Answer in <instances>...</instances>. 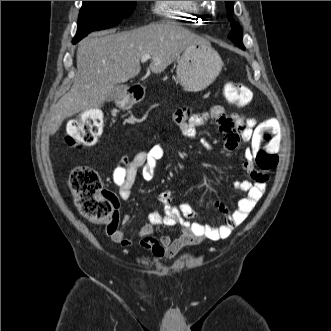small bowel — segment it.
Here are the masks:
<instances>
[{
  "instance_id": "c3829d8e",
  "label": "small bowel",
  "mask_w": 331,
  "mask_h": 331,
  "mask_svg": "<svg viewBox=\"0 0 331 331\" xmlns=\"http://www.w3.org/2000/svg\"><path fill=\"white\" fill-rule=\"evenodd\" d=\"M214 120L217 127L223 133L224 149L228 152L234 151L240 142L249 143L253 139V128L256 120L251 117L232 115L227 113L220 105L212 106L208 111L193 113L187 108H180L174 113V121L180 128L182 134L187 138H195L197 129L209 120ZM202 144L207 149H213L212 143L203 140ZM165 155V147L156 144L147 151L138 152L132 158L123 156L113 170L112 180L118 188L119 197L127 201L131 197V189L139 172L143 179L151 180L154 177L158 160ZM244 169L250 176V180H237L234 187L246 193L240 199L235 210L227 214L222 204L216 203V208L226 214L225 222L219 226L204 224L193 219L196 218V211L188 204H173L172 192L164 190L159 195L163 204L164 214L153 211L149 214V224L143 226L134 237L126 235L116 227L108 228L110 239L127 248L138 239L142 248L151 252L155 257H174L181 249L200 243L204 239L222 240L230 236L232 231L246 220L256 204L266 191L268 175L265 171L257 169L253 163V151L251 148L245 150ZM131 220L130 214H125L122 223L127 224ZM181 226L179 236L172 238L169 235L153 236L154 227Z\"/></svg>"
}]
</instances>
